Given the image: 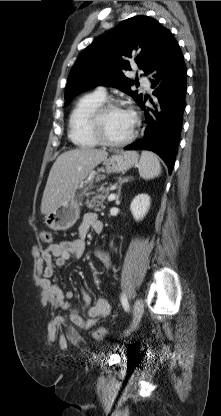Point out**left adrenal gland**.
<instances>
[{
    "label": "left adrenal gland",
    "mask_w": 221,
    "mask_h": 416,
    "mask_svg": "<svg viewBox=\"0 0 221 416\" xmlns=\"http://www.w3.org/2000/svg\"><path fill=\"white\" fill-rule=\"evenodd\" d=\"M130 179H131V177H119L118 178L119 186H118V193H117V197H116V202H118L119 197L121 195L122 184L125 183V182H128Z\"/></svg>",
    "instance_id": "obj_1"
}]
</instances>
